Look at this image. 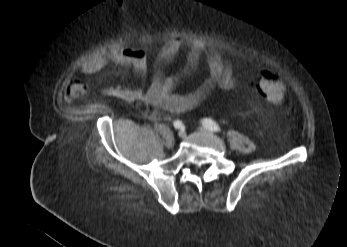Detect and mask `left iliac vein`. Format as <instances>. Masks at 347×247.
Wrapping results in <instances>:
<instances>
[{
    "instance_id": "1",
    "label": "left iliac vein",
    "mask_w": 347,
    "mask_h": 247,
    "mask_svg": "<svg viewBox=\"0 0 347 247\" xmlns=\"http://www.w3.org/2000/svg\"><path fill=\"white\" fill-rule=\"evenodd\" d=\"M199 131L200 132H204V133H210V131L207 128H204V127H200Z\"/></svg>"
}]
</instances>
